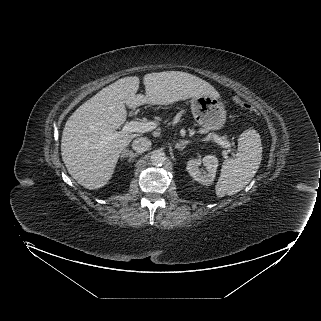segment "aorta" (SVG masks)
Segmentation results:
<instances>
[{"label":"aorta","mask_w":321,"mask_h":321,"mask_svg":"<svg viewBox=\"0 0 321 321\" xmlns=\"http://www.w3.org/2000/svg\"><path fill=\"white\" fill-rule=\"evenodd\" d=\"M166 159V155L162 150H154L150 157V161L154 166H162L165 164Z\"/></svg>","instance_id":"obj_1"}]
</instances>
